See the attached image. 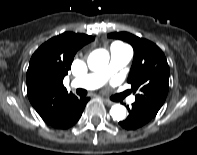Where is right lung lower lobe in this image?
<instances>
[{"label":"right lung lower lobe","instance_id":"1","mask_svg":"<svg viewBox=\"0 0 197 155\" xmlns=\"http://www.w3.org/2000/svg\"><path fill=\"white\" fill-rule=\"evenodd\" d=\"M89 98L74 97L65 107L61 115L52 123L51 126L57 129H67L74 125L82 115Z\"/></svg>","mask_w":197,"mask_h":155}]
</instances>
